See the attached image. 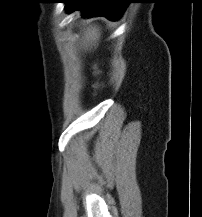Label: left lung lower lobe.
<instances>
[{"instance_id": "1", "label": "left lung lower lobe", "mask_w": 202, "mask_h": 217, "mask_svg": "<svg viewBox=\"0 0 202 217\" xmlns=\"http://www.w3.org/2000/svg\"><path fill=\"white\" fill-rule=\"evenodd\" d=\"M67 13L83 11L87 17L104 16L111 21L118 19L130 0H65Z\"/></svg>"}]
</instances>
